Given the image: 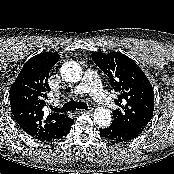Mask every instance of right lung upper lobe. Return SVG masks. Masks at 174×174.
<instances>
[{
  "label": "right lung upper lobe",
  "instance_id": "1",
  "mask_svg": "<svg viewBox=\"0 0 174 174\" xmlns=\"http://www.w3.org/2000/svg\"><path fill=\"white\" fill-rule=\"evenodd\" d=\"M59 54L43 52L30 58L10 88V105L18 125L32 138L52 141L66 135L74 120L64 114L48 113L47 81Z\"/></svg>",
  "mask_w": 174,
  "mask_h": 174
}]
</instances>
